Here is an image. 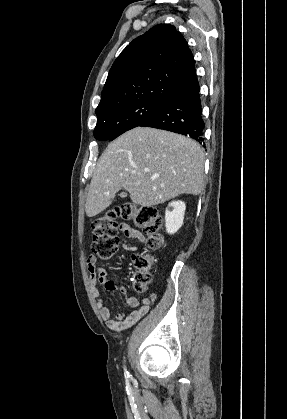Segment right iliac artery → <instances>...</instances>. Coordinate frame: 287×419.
Here are the masks:
<instances>
[{
  "instance_id": "1",
  "label": "right iliac artery",
  "mask_w": 287,
  "mask_h": 419,
  "mask_svg": "<svg viewBox=\"0 0 287 419\" xmlns=\"http://www.w3.org/2000/svg\"><path fill=\"white\" fill-rule=\"evenodd\" d=\"M124 370H125V372H124V374H125V378H129V377H130L129 372L126 370V368H124Z\"/></svg>"
}]
</instances>
